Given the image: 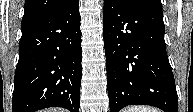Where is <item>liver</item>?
Returning a JSON list of instances; mask_svg holds the SVG:
<instances>
[{"mask_svg": "<svg viewBox=\"0 0 193 112\" xmlns=\"http://www.w3.org/2000/svg\"><path fill=\"white\" fill-rule=\"evenodd\" d=\"M43 112H65L63 109H47L43 110Z\"/></svg>", "mask_w": 193, "mask_h": 112, "instance_id": "obj_1", "label": "liver"}]
</instances>
